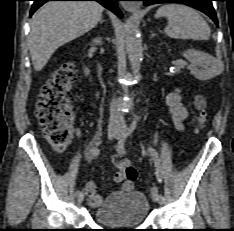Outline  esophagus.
Segmentation results:
<instances>
[{"instance_id":"esophagus-1","label":"esophagus","mask_w":234,"mask_h":231,"mask_svg":"<svg viewBox=\"0 0 234 231\" xmlns=\"http://www.w3.org/2000/svg\"><path fill=\"white\" fill-rule=\"evenodd\" d=\"M124 8L128 11H134L138 8V6L135 4H126L124 5Z\"/></svg>"}]
</instances>
